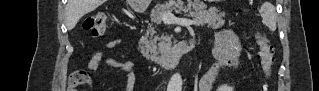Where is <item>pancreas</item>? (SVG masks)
I'll list each match as a JSON object with an SVG mask.
<instances>
[{"mask_svg":"<svg viewBox=\"0 0 319 91\" xmlns=\"http://www.w3.org/2000/svg\"><path fill=\"white\" fill-rule=\"evenodd\" d=\"M192 6L194 11H191V6L183 7L180 3L160 5L151 12V22L153 24H161L164 13H171L172 11L179 13L183 11L198 24H207L208 28L217 29L224 25V13H218V10L215 8L206 10V5L198 3H192ZM149 33L150 37L146 36L144 55L150 57L155 62H160L162 56L167 53V47L171 45V40L168 36H155L154 28H150Z\"/></svg>","mask_w":319,"mask_h":91,"instance_id":"1","label":"pancreas"}]
</instances>
